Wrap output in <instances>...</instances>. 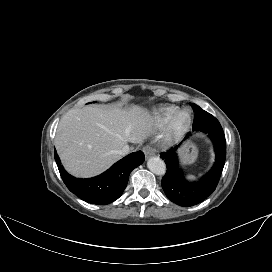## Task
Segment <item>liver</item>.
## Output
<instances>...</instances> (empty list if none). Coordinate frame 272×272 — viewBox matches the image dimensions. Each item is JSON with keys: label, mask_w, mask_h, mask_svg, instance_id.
I'll return each mask as SVG.
<instances>
[{"label": "liver", "mask_w": 272, "mask_h": 272, "mask_svg": "<svg viewBox=\"0 0 272 272\" xmlns=\"http://www.w3.org/2000/svg\"><path fill=\"white\" fill-rule=\"evenodd\" d=\"M151 130L149 114L140 106H86L71 109L62 117L55 147L69 173L91 177L118 161L125 145L142 143Z\"/></svg>", "instance_id": "liver-1"}]
</instances>
